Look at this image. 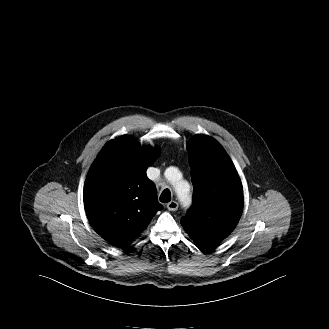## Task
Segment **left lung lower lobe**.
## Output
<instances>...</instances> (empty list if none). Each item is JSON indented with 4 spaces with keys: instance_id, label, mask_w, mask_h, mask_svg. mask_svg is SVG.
<instances>
[{
    "instance_id": "1",
    "label": "left lung lower lobe",
    "mask_w": 329,
    "mask_h": 329,
    "mask_svg": "<svg viewBox=\"0 0 329 329\" xmlns=\"http://www.w3.org/2000/svg\"><path fill=\"white\" fill-rule=\"evenodd\" d=\"M221 241H207V242H200L198 245L202 251H210L213 250L216 245Z\"/></svg>"
}]
</instances>
